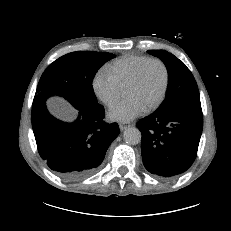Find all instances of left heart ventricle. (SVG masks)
I'll return each instance as SVG.
<instances>
[{"mask_svg":"<svg viewBox=\"0 0 231 231\" xmlns=\"http://www.w3.org/2000/svg\"><path fill=\"white\" fill-rule=\"evenodd\" d=\"M164 82V72L160 64H149L140 81L133 87L126 89L127 98H135L141 102L145 108L151 105L158 98Z\"/></svg>","mask_w":231,"mask_h":231,"instance_id":"1","label":"left heart ventricle"}]
</instances>
